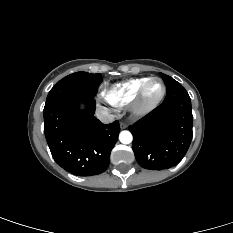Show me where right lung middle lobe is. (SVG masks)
<instances>
[{"instance_id":"1","label":"right lung middle lobe","mask_w":233,"mask_h":233,"mask_svg":"<svg viewBox=\"0 0 233 233\" xmlns=\"http://www.w3.org/2000/svg\"><path fill=\"white\" fill-rule=\"evenodd\" d=\"M100 73L76 72L64 77L49 92L45 107H49L61 100L91 96L94 97L98 86L102 82Z\"/></svg>"}]
</instances>
